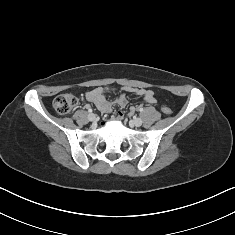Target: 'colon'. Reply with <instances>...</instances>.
<instances>
[{"mask_svg":"<svg viewBox=\"0 0 235 235\" xmlns=\"http://www.w3.org/2000/svg\"><path fill=\"white\" fill-rule=\"evenodd\" d=\"M77 105L76 98L71 94H60L55 97L53 101V107L55 111L60 115L69 114ZM162 112L165 114H170L171 109L164 105L162 106Z\"/></svg>","mask_w":235,"mask_h":235,"instance_id":"1","label":"colon"}]
</instances>
